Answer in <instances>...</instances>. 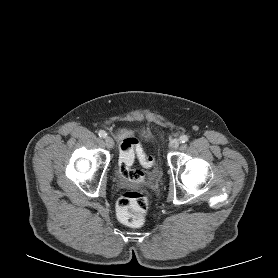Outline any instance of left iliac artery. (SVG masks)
Here are the masks:
<instances>
[{"label": "left iliac artery", "mask_w": 278, "mask_h": 278, "mask_svg": "<svg viewBox=\"0 0 278 278\" xmlns=\"http://www.w3.org/2000/svg\"><path fill=\"white\" fill-rule=\"evenodd\" d=\"M179 140H180L181 143H185V142L188 141V136L187 135H182Z\"/></svg>", "instance_id": "44dca946"}]
</instances>
